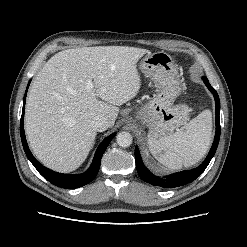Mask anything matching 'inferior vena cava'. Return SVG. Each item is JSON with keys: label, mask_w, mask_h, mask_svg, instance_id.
<instances>
[{"label": "inferior vena cava", "mask_w": 247, "mask_h": 247, "mask_svg": "<svg viewBox=\"0 0 247 247\" xmlns=\"http://www.w3.org/2000/svg\"><path fill=\"white\" fill-rule=\"evenodd\" d=\"M91 125L94 130L102 132L109 127V122L105 117L98 115L93 118Z\"/></svg>", "instance_id": "1"}]
</instances>
